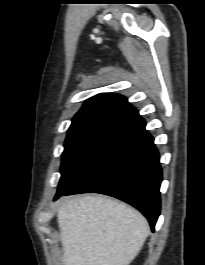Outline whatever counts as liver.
<instances>
[{
	"label": "liver",
	"mask_w": 205,
	"mask_h": 265,
	"mask_svg": "<svg viewBox=\"0 0 205 265\" xmlns=\"http://www.w3.org/2000/svg\"><path fill=\"white\" fill-rule=\"evenodd\" d=\"M58 226L64 265H129L150 233L140 212L95 195L62 200Z\"/></svg>",
	"instance_id": "obj_1"
}]
</instances>
